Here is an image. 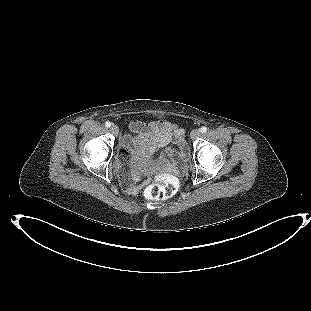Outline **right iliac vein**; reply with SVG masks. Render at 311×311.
<instances>
[{
	"mask_svg": "<svg viewBox=\"0 0 311 311\" xmlns=\"http://www.w3.org/2000/svg\"><path fill=\"white\" fill-rule=\"evenodd\" d=\"M110 130H111V132L114 134V135H118V133H119V127L117 126V125H112L111 127H110Z\"/></svg>",
	"mask_w": 311,
	"mask_h": 311,
	"instance_id": "obj_1",
	"label": "right iliac vein"
}]
</instances>
